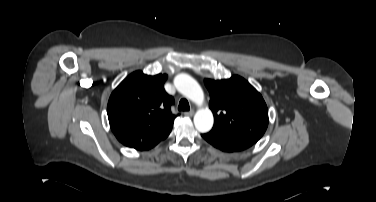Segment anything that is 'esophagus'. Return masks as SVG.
<instances>
[{"label": "esophagus", "mask_w": 376, "mask_h": 202, "mask_svg": "<svg viewBox=\"0 0 376 202\" xmlns=\"http://www.w3.org/2000/svg\"><path fill=\"white\" fill-rule=\"evenodd\" d=\"M184 115H185V116H193V115H194V111H193V110H191V111H186V112H184Z\"/></svg>", "instance_id": "1"}]
</instances>
